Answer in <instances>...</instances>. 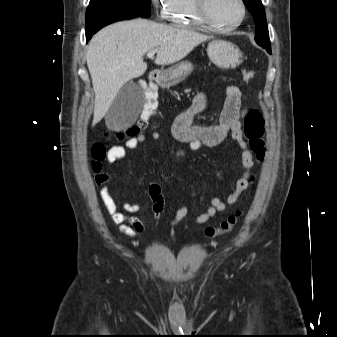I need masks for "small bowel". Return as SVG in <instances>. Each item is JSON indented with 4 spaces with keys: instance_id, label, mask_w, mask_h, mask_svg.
Here are the masks:
<instances>
[{
    "instance_id": "c3829d8e",
    "label": "small bowel",
    "mask_w": 337,
    "mask_h": 337,
    "mask_svg": "<svg viewBox=\"0 0 337 337\" xmlns=\"http://www.w3.org/2000/svg\"><path fill=\"white\" fill-rule=\"evenodd\" d=\"M208 108V97L205 94L197 95L189 107L174 121L171 133L173 137L182 142H187L193 146L194 140H199L200 145L213 146L220 144L227 139L236 141L241 149V163L245 169L243 175L236 181L235 187L228 194L225 200L219 197L203 198L209 202V207L200 213L194 220V224L203 225L212 219L218 212H223L228 207L240 200L243 193L249 186L250 170L254 165V155L243 139L241 128V118L246 112L243 106L242 93L237 86L226 88V98L219 114V123L215 125H195L193 119L196 115L204 112ZM147 136L139 134L126 140L124 145H115L108 149L106 161L114 163L123 159L127 150L136 149L147 140ZM149 138L153 141L160 139V134L156 131L150 133ZM111 174L101 172L95 177V184L100 188L101 201L112 222L119 226L122 234L134 237L145 232L144 222L134 215L139 206L136 203L122 202V210L115 198V189L110 186ZM149 196L152 200L153 219L158 222L164 211V199L161 186L153 183L148 188ZM192 196H196L193 192ZM188 214V208L182 205L171 220V227L178 225Z\"/></svg>"
}]
</instances>
